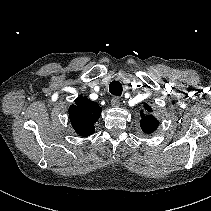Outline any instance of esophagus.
Returning a JSON list of instances; mask_svg holds the SVG:
<instances>
[{"label": "esophagus", "instance_id": "34e87169", "mask_svg": "<svg viewBox=\"0 0 211 211\" xmlns=\"http://www.w3.org/2000/svg\"><path fill=\"white\" fill-rule=\"evenodd\" d=\"M111 104L114 107H118L120 105V98L119 97H113L111 99Z\"/></svg>", "mask_w": 211, "mask_h": 211}]
</instances>
